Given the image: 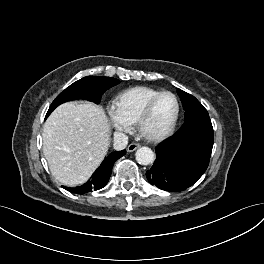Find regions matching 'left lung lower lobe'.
I'll return each mask as SVG.
<instances>
[{
  "instance_id": "1",
  "label": "left lung lower lobe",
  "mask_w": 264,
  "mask_h": 264,
  "mask_svg": "<svg viewBox=\"0 0 264 264\" xmlns=\"http://www.w3.org/2000/svg\"><path fill=\"white\" fill-rule=\"evenodd\" d=\"M211 121L198 122L161 143L146 177L158 188L179 192L193 185L206 171L213 147Z\"/></svg>"
}]
</instances>
